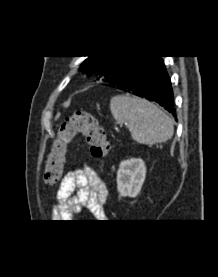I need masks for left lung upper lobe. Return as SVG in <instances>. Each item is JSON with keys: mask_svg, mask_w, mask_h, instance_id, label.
<instances>
[{"mask_svg": "<svg viewBox=\"0 0 218 277\" xmlns=\"http://www.w3.org/2000/svg\"><path fill=\"white\" fill-rule=\"evenodd\" d=\"M134 58L135 56H90L81 64L80 69L97 79L105 80Z\"/></svg>", "mask_w": 218, "mask_h": 277, "instance_id": "left-lung-upper-lobe-1", "label": "left lung upper lobe"}]
</instances>
